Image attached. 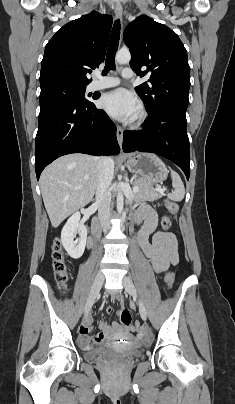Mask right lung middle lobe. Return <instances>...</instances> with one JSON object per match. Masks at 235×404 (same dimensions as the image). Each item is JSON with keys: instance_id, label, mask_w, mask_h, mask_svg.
<instances>
[{"instance_id": "dd1d6c3e", "label": "right lung middle lobe", "mask_w": 235, "mask_h": 404, "mask_svg": "<svg viewBox=\"0 0 235 404\" xmlns=\"http://www.w3.org/2000/svg\"><path fill=\"white\" fill-rule=\"evenodd\" d=\"M87 85H78L67 82H50L41 85L40 103L48 101H60L73 105H85L91 103L85 98ZM95 99V97H93Z\"/></svg>"}]
</instances>
